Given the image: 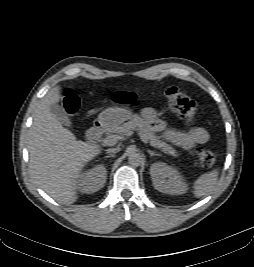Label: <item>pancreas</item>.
<instances>
[{"label":"pancreas","instance_id":"pancreas-1","mask_svg":"<svg viewBox=\"0 0 254 267\" xmlns=\"http://www.w3.org/2000/svg\"><path fill=\"white\" fill-rule=\"evenodd\" d=\"M137 130L142 137H145L146 142H149L151 146L161 149L162 152L172 155L174 157L178 156L177 151L169 144L161 140L160 136L155 135V133L146 126L144 119L138 115H134L133 118L124 123L123 125H115L107 129V137H111L114 134L126 135L131 131Z\"/></svg>","mask_w":254,"mask_h":267}]
</instances>
